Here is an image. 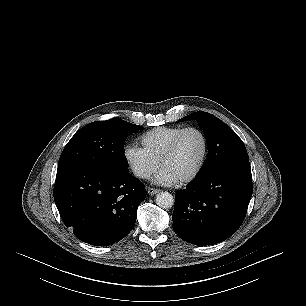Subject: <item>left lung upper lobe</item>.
<instances>
[{"label":"left lung upper lobe","instance_id":"5c2ea615","mask_svg":"<svg viewBox=\"0 0 306 306\" xmlns=\"http://www.w3.org/2000/svg\"><path fill=\"white\" fill-rule=\"evenodd\" d=\"M196 119L206 137L208 154L199 175L219 166L249 162L245 146L239 136L212 114L199 111L183 117L179 122Z\"/></svg>","mask_w":306,"mask_h":306}]
</instances>
